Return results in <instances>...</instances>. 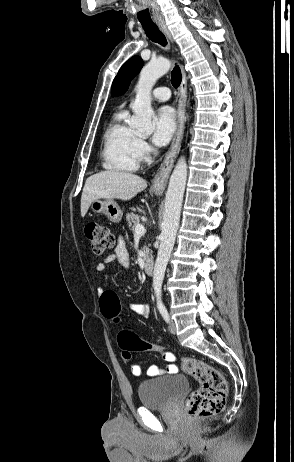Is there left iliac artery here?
<instances>
[{
    "label": "left iliac artery",
    "mask_w": 294,
    "mask_h": 462,
    "mask_svg": "<svg viewBox=\"0 0 294 462\" xmlns=\"http://www.w3.org/2000/svg\"><path fill=\"white\" fill-rule=\"evenodd\" d=\"M159 311L162 317L164 318V320L168 323L170 319H169V314H168L167 309L164 306H162V307H159Z\"/></svg>",
    "instance_id": "1"
}]
</instances>
